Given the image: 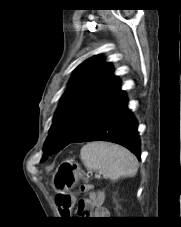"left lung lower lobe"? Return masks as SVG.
Returning a JSON list of instances; mask_svg holds the SVG:
<instances>
[{"mask_svg": "<svg viewBox=\"0 0 181 227\" xmlns=\"http://www.w3.org/2000/svg\"><path fill=\"white\" fill-rule=\"evenodd\" d=\"M110 141L120 144L140 160L137 122L127 107V98L119 87L92 114L81 133L71 142Z\"/></svg>", "mask_w": 181, "mask_h": 227, "instance_id": "0a47b994", "label": "left lung lower lobe"}]
</instances>
